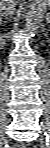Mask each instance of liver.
<instances>
[{
  "label": "liver",
  "mask_w": 50,
  "mask_h": 148,
  "mask_svg": "<svg viewBox=\"0 0 50 148\" xmlns=\"http://www.w3.org/2000/svg\"><path fill=\"white\" fill-rule=\"evenodd\" d=\"M4 1H5V0H1V1H0V4H1V11H2V5L4 4Z\"/></svg>",
  "instance_id": "liver-1"
}]
</instances>
